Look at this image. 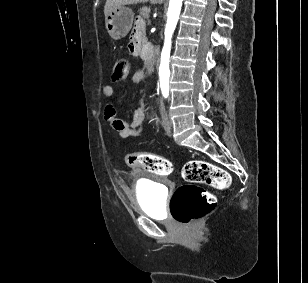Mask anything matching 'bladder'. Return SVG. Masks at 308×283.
I'll return each instance as SVG.
<instances>
[{
	"instance_id": "1",
	"label": "bladder",
	"mask_w": 308,
	"mask_h": 283,
	"mask_svg": "<svg viewBox=\"0 0 308 283\" xmlns=\"http://www.w3.org/2000/svg\"><path fill=\"white\" fill-rule=\"evenodd\" d=\"M135 196L143 214L158 219L165 216V193L160 184L148 178L140 179L135 187Z\"/></svg>"
}]
</instances>
